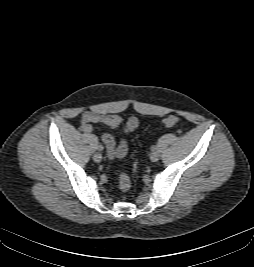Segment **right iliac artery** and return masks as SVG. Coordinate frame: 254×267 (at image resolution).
Wrapping results in <instances>:
<instances>
[{"mask_svg": "<svg viewBox=\"0 0 254 267\" xmlns=\"http://www.w3.org/2000/svg\"><path fill=\"white\" fill-rule=\"evenodd\" d=\"M97 149L101 151V150L104 149V147H103L102 145H98V146H97Z\"/></svg>", "mask_w": 254, "mask_h": 267, "instance_id": "1", "label": "right iliac artery"}]
</instances>
